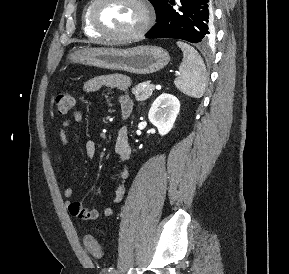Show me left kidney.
I'll return each instance as SVG.
<instances>
[{
	"mask_svg": "<svg viewBox=\"0 0 289 274\" xmlns=\"http://www.w3.org/2000/svg\"><path fill=\"white\" fill-rule=\"evenodd\" d=\"M179 111L180 102L177 97L164 93L153 102L148 118L163 136L172 129Z\"/></svg>",
	"mask_w": 289,
	"mask_h": 274,
	"instance_id": "left-kidney-1",
	"label": "left kidney"
}]
</instances>
